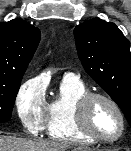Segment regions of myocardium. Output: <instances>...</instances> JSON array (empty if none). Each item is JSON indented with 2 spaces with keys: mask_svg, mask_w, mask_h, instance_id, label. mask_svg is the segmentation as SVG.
<instances>
[{
  "mask_svg": "<svg viewBox=\"0 0 131 151\" xmlns=\"http://www.w3.org/2000/svg\"><path fill=\"white\" fill-rule=\"evenodd\" d=\"M98 101L109 104L119 117L120 131L115 137L107 138L100 136L91 127V110L93 105ZM75 120L77 127L82 134L101 143H114L118 141L123 136L126 129V119L120 105L112 97L103 93L88 92L83 95L76 104Z\"/></svg>",
  "mask_w": 131,
  "mask_h": 151,
  "instance_id": "f54148a6",
  "label": "myocardium"
}]
</instances>
